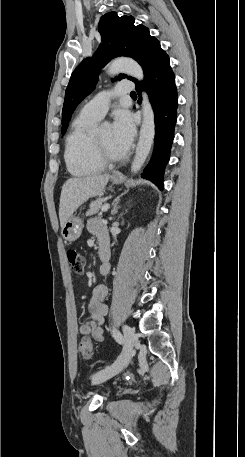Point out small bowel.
I'll list each match as a JSON object with an SVG mask.
<instances>
[{
    "mask_svg": "<svg viewBox=\"0 0 245 457\" xmlns=\"http://www.w3.org/2000/svg\"><path fill=\"white\" fill-rule=\"evenodd\" d=\"M88 229L98 241L99 249L106 248L109 250V237L105 224L97 219L92 218L88 222ZM110 272L109 265H103L100 268L102 276L108 275ZM108 289L104 284H98L92 292V297L88 303V316L80 323L79 332L84 336H90L95 341H103L104 331L102 324L107 315L108 307L105 304V299Z\"/></svg>",
    "mask_w": 245,
    "mask_h": 457,
    "instance_id": "small-bowel-1",
    "label": "small bowel"
}]
</instances>
